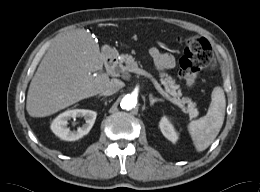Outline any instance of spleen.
<instances>
[{
  "label": "spleen",
  "instance_id": "obj_1",
  "mask_svg": "<svg viewBox=\"0 0 260 192\" xmlns=\"http://www.w3.org/2000/svg\"><path fill=\"white\" fill-rule=\"evenodd\" d=\"M226 99L224 90L217 86L211 93V103L207 114L191 121L187 128L196 151L207 149L215 140L224 122Z\"/></svg>",
  "mask_w": 260,
  "mask_h": 192
}]
</instances>
